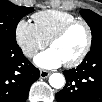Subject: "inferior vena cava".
<instances>
[{
	"instance_id": "602c4592",
	"label": "inferior vena cava",
	"mask_w": 102,
	"mask_h": 102,
	"mask_svg": "<svg viewBox=\"0 0 102 102\" xmlns=\"http://www.w3.org/2000/svg\"><path fill=\"white\" fill-rule=\"evenodd\" d=\"M36 53V51L34 49H25L24 50V54L27 56V57H32L34 54Z\"/></svg>"
}]
</instances>
